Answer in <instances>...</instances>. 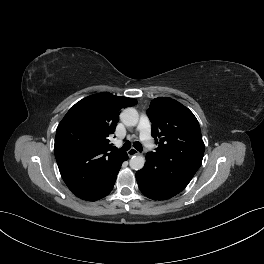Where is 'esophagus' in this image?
<instances>
[{
    "label": "esophagus",
    "instance_id": "obj_1",
    "mask_svg": "<svg viewBox=\"0 0 264 264\" xmlns=\"http://www.w3.org/2000/svg\"><path fill=\"white\" fill-rule=\"evenodd\" d=\"M127 154H128L129 157H132V156H134V155H138L139 152H138L136 149L131 148V149H129V150L127 151Z\"/></svg>",
    "mask_w": 264,
    "mask_h": 264
}]
</instances>
